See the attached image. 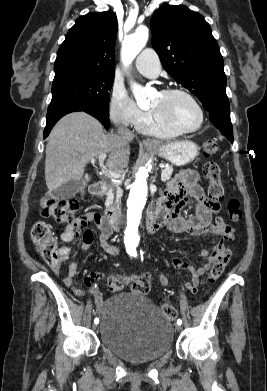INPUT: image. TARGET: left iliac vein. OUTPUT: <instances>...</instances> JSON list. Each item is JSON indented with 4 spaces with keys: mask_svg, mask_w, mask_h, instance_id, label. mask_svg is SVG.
I'll list each match as a JSON object with an SVG mask.
<instances>
[{
    "mask_svg": "<svg viewBox=\"0 0 267 391\" xmlns=\"http://www.w3.org/2000/svg\"><path fill=\"white\" fill-rule=\"evenodd\" d=\"M176 329L179 331L181 330V326L179 324H176Z\"/></svg>",
    "mask_w": 267,
    "mask_h": 391,
    "instance_id": "left-iliac-vein-1",
    "label": "left iliac vein"
}]
</instances>
